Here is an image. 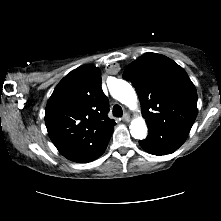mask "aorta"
Returning <instances> with one entry per match:
<instances>
[{
  "label": "aorta",
  "instance_id": "aorta-1",
  "mask_svg": "<svg viewBox=\"0 0 221 221\" xmlns=\"http://www.w3.org/2000/svg\"><path fill=\"white\" fill-rule=\"evenodd\" d=\"M110 94L120 103L132 110L137 109V95L133 87L126 81L117 79L109 87ZM130 133L135 139H145L147 136V126L142 117H137L131 121Z\"/></svg>",
  "mask_w": 221,
  "mask_h": 221
}]
</instances>
